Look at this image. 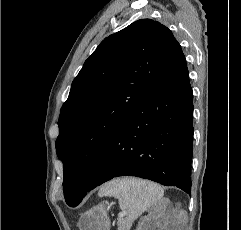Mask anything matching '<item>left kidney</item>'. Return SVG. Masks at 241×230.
<instances>
[{"label":"left kidney","instance_id":"obj_1","mask_svg":"<svg viewBox=\"0 0 241 230\" xmlns=\"http://www.w3.org/2000/svg\"><path fill=\"white\" fill-rule=\"evenodd\" d=\"M137 230H153V226L145 225L143 228L139 227Z\"/></svg>","mask_w":241,"mask_h":230}]
</instances>
